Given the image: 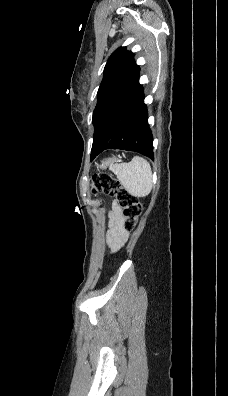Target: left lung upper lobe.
<instances>
[{
	"mask_svg": "<svg viewBox=\"0 0 228 396\" xmlns=\"http://www.w3.org/2000/svg\"><path fill=\"white\" fill-rule=\"evenodd\" d=\"M139 66L135 63L133 53L125 47L118 48L108 59L104 77L100 84L97 104L93 112L94 135L97 132L105 111L113 102L139 79ZM93 137L91 158L97 151Z\"/></svg>",
	"mask_w": 228,
	"mask_h": 396,
	"instance_id": "1",
	"label": "left lung upper lobe"
}]
</instances>
